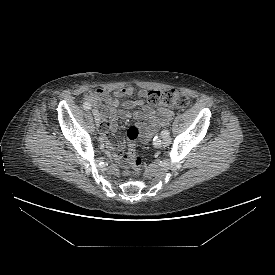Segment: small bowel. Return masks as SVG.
I'll list each match as a JSON object with an SVG mask.
<instances>
[{
    "mask_svg": "<svg viewBox=\"0 0 275 275\" xmlns=\"http://www.w3.org/2000/svg\"><path fill=\"white\" fill-rule=\"evenodd\" d=\"M136 94L135 100L120 102L119 99ZM148 92L140 89L137 92L132 86H125L110 93L105 89H98L96 95L90 100L93 106L99 107L102 114L103 136L107 144L113 149L115 160L118 163L127 161L122 147L118 141H111L109 135H114L118 129V118L133 117L141 129L140 140L148 141L156 131L169 124L173 117V110L166 106H160L155 111L147 104ZM137 108L134 113L129 110Z\"/></svg>",
    "mask_w": 275,
    "mask_h": 275,
    "instance_id": "1",
    "label": "small bowel"
}]
</instances>
